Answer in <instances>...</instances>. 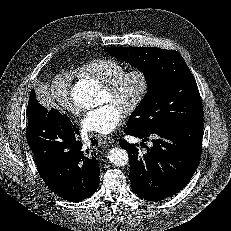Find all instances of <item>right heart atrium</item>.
<instances>
[{
    "label": "right heart atrium",
    "mask_w": 231,
    "mask_h": 231,
    "mask_svg": "<svg viewBox=\"0 0 231 231\" xmlns=\"http://www.w3.org/2000/svg\"><path fill=\"white\" fill-rule=\"evenodd\" d=\"M50 92L54 102L61 110L71 114L79 112V107L71 96V80L68 73L62 71L53 77Z\"/></svg>",
    "instance_id": "right-heart-atrium-1"
}]
</instances>
